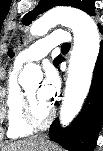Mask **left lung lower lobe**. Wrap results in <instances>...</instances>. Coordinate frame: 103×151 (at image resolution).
Listing matches in <instances>:
<instances>
[{"label": "left lung lower lobe", "instance_id": "left-lung-lower-lobe-1", "mask_svg": "<svg viewBox=\"0 0 103 151\" xmlns=\"http://www.w3.org/2000/svg\"><path fill=\"white\" fill-rule=\"evenodd\" d=\"M103 33V28L99 25ZM63 61V60H62ZM61 61V62H62ZM103 119V40L93 72V79L84 106L65 130L56 119L50 129V139L60 143L68 150L93 151Z\"/></svg>", "mask_w": 103, "mask_h": 151}]
</instances>
